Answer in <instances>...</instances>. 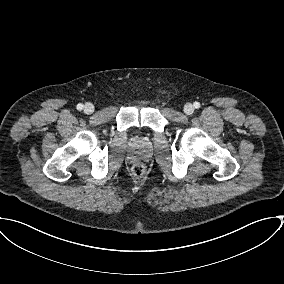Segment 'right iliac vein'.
Instances as JSON below:
<instances>
[{"label":"right iliac vein","instance_id":"right-iliac-vein-1","mask_svg":"<svg viewBox=\"0 0 284 284\" xmlns=\"http://www.w3.org/2000/svg\"><path fill=\"white\" fill-rule=\"evenodd\" d=\"M84 112L87 114H91L94 112V105L92 103H86L84 106Z\"/></svg>","mask_w":284,"mask_h":284}]
</instances>
